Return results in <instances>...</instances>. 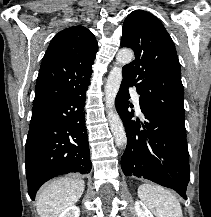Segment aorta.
I'll return each instance as SVG.
<instances>
[{
    "instance_id": "762f6f07",
    "label": "aorta",
    "mask_w": 211,
    "mask_h": 217,
    "mask_svg": "<svg viewBox=\"0 0 211 217\" xmlns=\"http://www.w3.org/2000/svg\"><path fill=\"white\" fill-rule=\"evenodd\" d=\"M134 54L129 49H121L116 55V65L112 68L105 85V102L110 129L118 147H124L127 142L123 123L115 110V98L122 81V66L130 63Z\"/></svg>"
}]
</instances>
